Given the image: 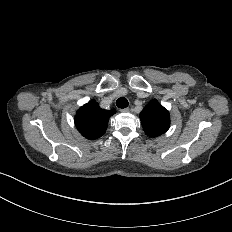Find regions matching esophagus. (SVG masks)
<instances>
[{
	"mask_svg": "<svg viewBox=\"0 0 232 232\" xmlns=\"http://www.w3.org/2000/svg\"><path fill=\"white\" fill-rule=\"evenodd\" d=\"M120 111L122 113H128L129 112V108H123V109H120Z\"/></svg>",
	"mask_w": 232,
	"mask_h": 232,
	"instance_id": "esophagus-1",
	"label": "esophagus"
}]
</instances>
